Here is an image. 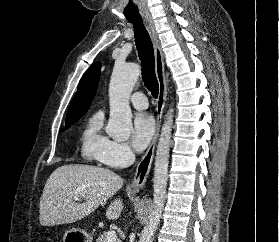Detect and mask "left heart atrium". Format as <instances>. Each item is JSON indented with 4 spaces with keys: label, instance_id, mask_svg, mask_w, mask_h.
<instances>
[{
    "label": "left heart atrium",
    "instance_id": "obj_1",
    "mask_svg": "<svg viewBox=\"0 0 279 242\" xmlns=\"http://www.w3.org/2000/svg\"><path fill=\"white\" fill-rule=\"evenodd\" d=\"M155 133V122L151 115L139 113L133 122L131 143L135 150H144L152 140Z\"/></svg>",
    "mask_w": 279,
    "mask_h": 242
}]
</instances>
